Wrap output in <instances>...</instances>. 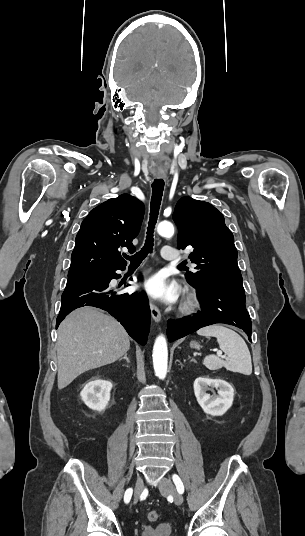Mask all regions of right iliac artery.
Instances as JSON below:
<instances>
[{
    "instance_id": "1",
    "label": "right iliac artery",
    "mask_w": 305,
    "mask_h": 536,
    "mask_svg": "<svg viewBox=\"0 0 305 536\" xmlns=\"http://www.w3.org/2000/svg\"><path fill=\"white\" fill-rule=\"evenodd\" d=\"M131 496H132V489L129 488V489L126 490L125 495H124V500H125L126 503H128L130 501Z\"/></svg>"
}]
</instances>
